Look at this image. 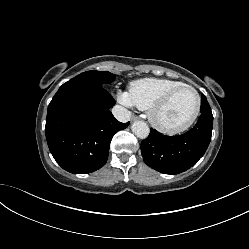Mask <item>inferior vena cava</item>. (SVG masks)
Returning a JSON list of instances; mask_svg holds the SVG:
<instances>
[{"instance_id":"602c4592","label":"inferior vena cava","mask_w":249,"mask_h":249,"mask_svg":"<svg viewBox=\"0 0 249 249\" xmlns=\"http://www.w3.org/2000/svg\"><path fill=\"white\" fill-rule=\"evenodd\" d=\"M112 113L118 121L123 123L129 121L131 118V112L120 105L114 106L112 108Z\"/></svg>"}]
</instances>
